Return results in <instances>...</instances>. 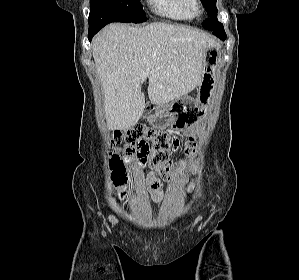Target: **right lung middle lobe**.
<instances>
[{
  "mask_svg": "<svg viewBox=\"0 0 299 280\" xmlns=\"http://www.w3.org/2000/svg\"><path fill=\"white\" fill-rule=\"evenodd\" d=\"M100 4L121 14L127 22L141 23L146 21L145 12L140 0H90V5Z\"/></svg>",
  "mask_w": 299,
  "mask_h": 280,
  "instance_id": "obj_1",
  "label": "right lung middle lobe"
}]
</instances>
